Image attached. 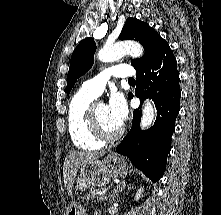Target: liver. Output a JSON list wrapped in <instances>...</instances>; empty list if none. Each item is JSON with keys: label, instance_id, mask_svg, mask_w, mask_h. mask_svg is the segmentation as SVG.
Listing matches in <instances>:
<instances>
[{"label": "liver", "instance_id": "1", "mask_svg": "<svg viewBox=\"0 0 221 215\" xmlns=\"http://www.w3.org/2000/svg\"><path fill=\"white\" fill-rule=\"evenodd\" d=\"M105 155V152H87L72 150L64 160L63 177L68 194L72 195V188L76 173L81 165L96 160Z\"/></svg>", "mask_w": 221, "mask_h": 215}]
</instances>
